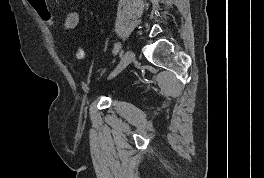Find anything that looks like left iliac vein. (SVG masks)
<instances>
[{
	"instance_id": "4c4485c4",
	"label": "left iliac vein",
	"mask_w": 264,
	"mask_h": 178,
	"mask_svg": "<svg viewBox=\"0 0 264 178\" xmlns=\"http://www.w3.org/2000/svg\"><path fill=\"white\" fill-rule=\"evenodd\" d=\"M134 59V53L131 49L127 50L124 55L122 56L119 64L110 74L109 78H113L118 75L122 70H124Z\"/></svg>"
}]
</instances>
